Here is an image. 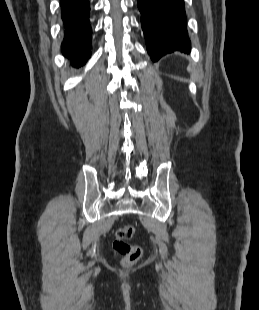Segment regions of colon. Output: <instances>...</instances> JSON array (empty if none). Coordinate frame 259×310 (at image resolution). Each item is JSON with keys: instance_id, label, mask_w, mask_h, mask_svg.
<instances>
[{"instance_id": "1", "label": "colon", "mask_w": 259, "mask_h": 310, "mask_svg": "<svg viewBox=\"0 0 259 310\" xmlns=\"http://www.w3.org/2000/svg\"><path fill=\"white\" fill-rule=\"evenodd\" d=\"M132 225L120 227L113 238V250L123 257L122 262L126 266L135 264L142 256V248L138 245L130 244L128 240L133 236Z\"/></svg>"}]
</instances>
